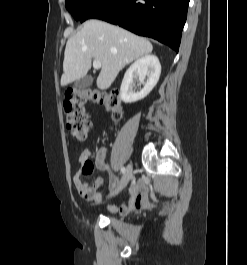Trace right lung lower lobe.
<instances>
[{
    "label": "right lung lower lobe",
    "mask_w": 247,
    "mask_h": 265,
    "mask_svg": "<svg viewBox=\"0 0 247 265\" xmlns=\"http://www.w3.org/2000/svg\"><path fill=\"white\" fill-rule=\"evenodd\" d=\"M189 0H100L80 19L97 18L154 38L178 53Z\"/></svg>",
    "instance_id": "98d812e1"
}]
</instances>
